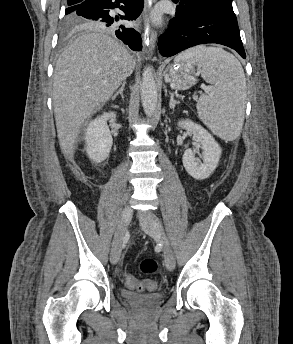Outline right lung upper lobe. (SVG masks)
Instances as JSON below:
<instances>
[{"label": "right lung upper lobe", "instance_id": "obj_1", "mask_svg": "<svg viewBox=\"0 0 293 344\" xmlns=\"http://www.w3.org/2000/svg\"><path fill=\"white\" fill-rule=\"evenodd\" d=\"M81 1H83V0H68V5H75V4H78Z\"/></svg>", "mask_w": 293, "mask_h": 344}]
</instances>
